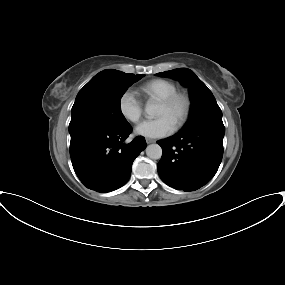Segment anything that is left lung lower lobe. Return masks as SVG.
<instances>
[{"instance_id":"left-lung-lower-lobe-1","label":"left lung lower lobe","mask_w":285,"mask_h":285,"mask_svg":"<svg viewBox=\"0 0 285 285\" xmlns=\"http://www.w3.org/2000/svg\"><path fill=\"white\" fill-rule=\"evenodd\" d=\"M224 133L223 124L206 122L158 141L163 150L157 166L162 181L184 191L207 184L221 163Z\"/></svg>"}]
</instances>
